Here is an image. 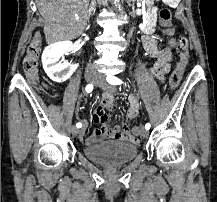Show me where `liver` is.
<instances>
[{
    "label": "liver",
    "mask_w": 217,
    "mask_h": 202,
    "mask_svg": "<svg viewBox=\"0 0 217 202\" xmlns=\"http://www.w3.org/2000/svg\"><path fill=\"white\" fill-rule=\"evenodd\" d=\"M44 18V34L47 44L75 40L81 36L87 24L89 0H35ZM79 20H75V16Z\"/></svg>",
    "instance_id": "6515ba94"
}]
</instances>
